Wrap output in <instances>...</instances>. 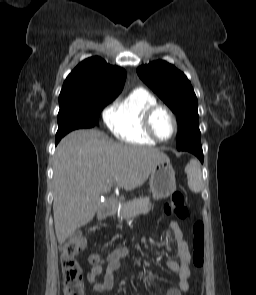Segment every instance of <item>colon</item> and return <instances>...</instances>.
<instances>
[{
  "instance_id": "1",
  "label": "colon",
  "mask_w": 256,
  "mask_h": 295,
  "mask_svg": "<svg viewBox=\"0 0 256 295\" xmlns=\"http://www.w3.org/2000/svg\"><path fill=\"white\" fill-rule=\"evenodd\" d=\"M163 212L167 217L173 216L179 219H188L190 217V211L185 205L184 195L179 191L172 194L170 200L164 205ZM192 232V261L195 266L200 267L204 263V225L202 221L194 222ZM85 247V237L81 233H76L61 248L60 265L65 295H83L82 269L77 256ZM90 261L98 263L100 258L93 255Z\"/></svg>"
}]
</instances>
